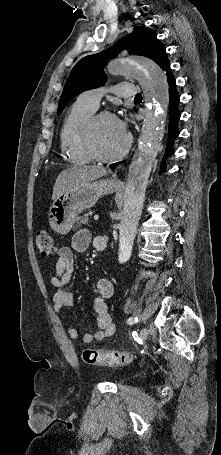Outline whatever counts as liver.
I'll return each mask as SVG.
<instances>
[{"label": "liver", "instance_id": "1", "mask_svg": "<svg viewBox=\"0 0 221 455\" xmlns=\"http://www.w3.org/2000/svg\"><path fill=\"white\" fill-rule=\"evenodd\" d=\"M107 174L102 166H72L63 170L57 177L53 187L52 200L55 201L66 190L84 182L94 181Z\"/></svg>", "mask_w": 221, "mask_h": 455}]
</instances>
